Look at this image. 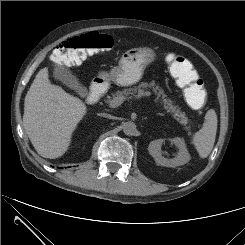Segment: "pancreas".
<instances>
[{"label": "pancreas", "instance_id": "obj_1", "mask_svg": "<svg viewBox=\"0 0 245 245\" xmlns=\"http://www.w3.org/2000/svg\"><path fill=\"white\" fill-rule=\"evenodd\" d=\"M152 89L154 94L157 96V103L163 105V108L171 113L174 118L182 124H187L188 119L184 113H182L178 106L173 104V101L166 98L164 91L154 81L147 83L141 82L139 85L133 88L123 89L122 91H116L112 94L113 99L116 97H122L124 100L132 99L133 97H140L144 94V90ZM110 103V99L107 100Z\"/></svg>", "mask_w": 245, "mask_h": 245}]
</instances>
